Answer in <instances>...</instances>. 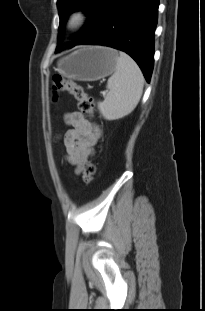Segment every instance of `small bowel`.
I'll return each instance as SVG.
<instances>
[{
  "label": "small bowel",
  "instance_id": "1",
  "mask_svg": "<svg viewBox=\"0 0 205 311\" xmlns=\"http://www.w3.org/2000/svg\"><path fill=\"white\" fill-rule=\"evenodd\" d=\"M64 118L70 126L63 138L66 159L80 169L102 132L100 128L93 126L81 111L68 112Z\"/></svg>",
  "mask_w": 205,
  "mask_h": 311
}]
</instances>
